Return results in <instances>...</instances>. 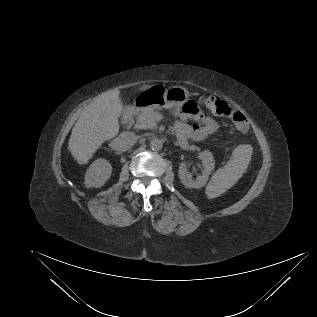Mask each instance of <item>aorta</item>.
Instances as JSON below:
<instances>
[{
  "label": "aorta",
  "mask_w": 317,
  "mask_h": 317,
  "mask_svg": "<svg viewBox=\"0 0 317 317\" xmlns=\"http://www.w3.org/2000/svg\"><path fill=\"white\" fill-rule=\"evenodd\" d=\"M163 147V142L161 139L154 138L150 142V148L154 151H159Z\"/></svg>",
  "instance_id": "obj_1"
}]
</instances>
